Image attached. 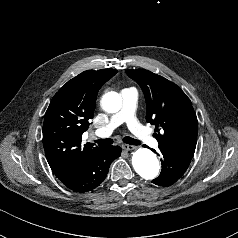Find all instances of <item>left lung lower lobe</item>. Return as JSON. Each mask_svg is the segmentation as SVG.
Returning a JSON list of instances; mask_svg holds the SVG:
<instances>
[{
    "instance_id": "1",
    "label": "left lung lower lobe",
    "mask_w": 238,
    "mask_h": 238,
    "mask_svg": "<svg viewBox=\"0 0 238 238\" xmlns=\"http://www.w3.org/2000/svg\"><path fill=\"white\" fill-rule=\"evenodd\" d=\"M159 149L162 155V170L152 182L159 186H171L185 173L193 155L164 147Z\"/></svg>"
}]
</instances>
